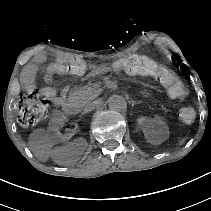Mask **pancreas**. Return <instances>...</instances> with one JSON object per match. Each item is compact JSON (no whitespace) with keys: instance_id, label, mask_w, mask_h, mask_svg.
<instances>
[{"instance_id":"cf45deb5","label":"pancreas","mask_w":211,"mask_h":211,"mask_svg":"<svg viewBox=\"0 0 211 211\" xmlns=\"http://www.w3.org/2000/svg\"><path fill=\"white\" fill-rule=\"evenodd\" d=\"M142 92L145 93L146 91ZM70 94L72 98L69 99L68 106L70 111L75 113L78 112L83 105L88 104L94 98L99 97L101 94V89L97 85H92L90 87L74 88ZM153 103L156 104L155 101H153ZM159 106L161 110L165 111L162 104H159ZM164 113L167 114V111Z\"/></svg>"}]
</instances>
